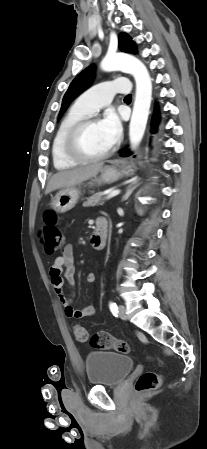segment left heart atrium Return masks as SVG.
Listing matches in <instances>:
<instances>
[{"label":"left heart atrium","mask_w":207,"mask_h":449,"mask_svg":"<svg viewBox=\"0 0 207 449\" xmlns=\"http://www.w3.org/2000/svg\"><path fill=\"white\" fill-rule=\"evenodd\" d=\"M100 126L105 132L110 144L114 145L122 133V125L118 115L113 111L107 112L100 121Z\"/></svg>","instance_id":"obj_1"}]
</instances>
